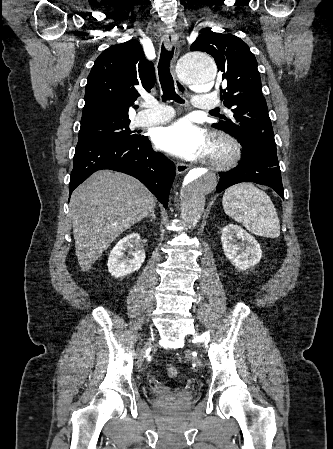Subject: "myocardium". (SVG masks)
Listing matches in <instances>:
<instances>
[{"instance_id":"f54148a6","label":"myocardium","mask_w":333,"mask_h":449,"mask_svg":"<svg viewBox=\"0 0 333 449\" xmlns=\"http://www.w3.org/2000/svg\"><path fill=\"white\" fill-rule=\"evenodd\" d=\"M241 154V145L234 138L218 135L211 144L208 163L218 170L228 169L238 162Z\"/></svg>"}]
</instances>
